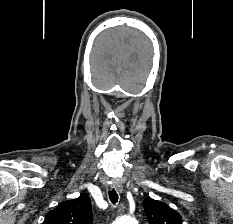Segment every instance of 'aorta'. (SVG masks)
Here are the masks:
<instances>
[{
    "mask_svg": "<svg viewBox=\"0 0 233 224\" xmlns=\"http://www.w3.org/2000/svg\"><path fill=\"white\" fill-rule=\"evenodd\" d=\"M113 224H138V221L132 216H121Z\"/></svg>",
    "mask_w": 233,
    "mask_h": 224,
    "instance_id": "aorta-1",
    "label": "aorta"
}]
</instances>
